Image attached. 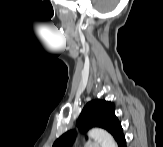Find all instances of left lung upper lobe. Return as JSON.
<instances>
[{"mask_svg": "<svg viewBox=\"0 0 163 147\" xmlns=\"http://www.w3.org/2000/svg\"><path fill=\"white\" fill-rule=\"evenodd\" d=\"M76 125L82 132H86L92 127L104 128L112 134L115 140L123 131L121 123L115 116L114 104L98 99L92 100L85 105ZM74 138L73 131L66 132L54 142L53 147H69Z\"/></svg>", "mask_w": 163, "mask_h": 147, "instance_id": "obj_1", "label": "left lung upper lobe"}]
</instances>
